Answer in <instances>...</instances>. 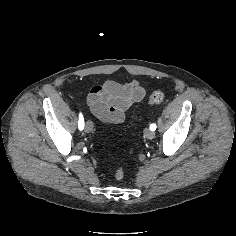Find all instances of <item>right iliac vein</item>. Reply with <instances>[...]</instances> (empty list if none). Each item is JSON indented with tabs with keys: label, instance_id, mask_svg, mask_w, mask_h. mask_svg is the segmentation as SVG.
I'll return each mask as SVG.
<instances>
[{
	"label": "right iliac vein",
	"instance_id": "1",
	"mask_svg": "<svg viewBox=\"0 0 236 236\" xmlns=\"http://www.w3.org/2000/svg\"><path fill=\"white\" fill-rule=\"evenodd\" d=\"M92 130H93V123L91 121H87L85 124V131L89 133Z\"/></svg>",
	"mask_w": 236,
	"mask_h": 236
}]
</instances>
